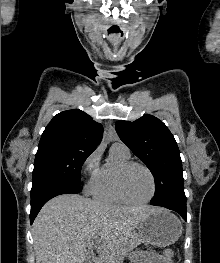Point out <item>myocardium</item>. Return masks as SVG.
Masks as SVG:
<instances>
[{
  "label": "myocardium",
  "mask_w": 220,
  "mask_h": 263,
  "mask_svg": "<svg viewBox=\"0 0 220 263\" xmlns=\"http://www.w3.org/2000/svg\"><path fill=\"white\" fill-rule=\"evenodd\" d=\"M136 166L143 168L148 173L151 179V183H152V189H151L150 195L146 199L140 200V201L132 200L126 195L125 190H124V183H123L124 176L127 173V171ZM115 189H116L118 196L123 202L127 204H131V205H143V204L149 203L153 199L156 193V179L151 169L145 164L136 162V161H128V162H125L119 165L118 168L116 169Z\"/></svg>",
  "instance_id": "myocardium-1"
}]
</instances>
